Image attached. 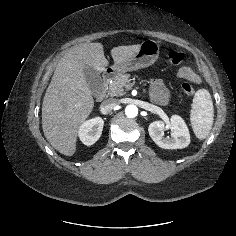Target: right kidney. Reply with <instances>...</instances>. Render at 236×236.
Wrapping results in <instances>:
<instances>
[{"mask_svg":"<svg viewBox=\"0 0 236 236\" xmlns=\"http://www.w3.org/2000/svg\"><path fill=\"white\" fill-rule=\"evenodd\" d=\"M104 121L96 117L84 122L79 128V138L83 144L90 146L94 144L101 136Z\"/></svg>","mask_w":236,"mask_h":236,"instance_id":"obj_1","label":"right kidney"}]
</instances>
